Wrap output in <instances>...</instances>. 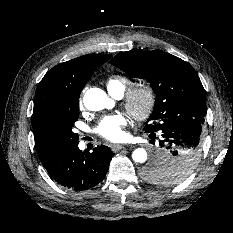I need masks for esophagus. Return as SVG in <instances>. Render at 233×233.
Returning <instances> with one entry per match:
<instances>
[{
  "instance_id": "1",
  "label": "esophagus",
  "mask_w": 233,
  "mask_h": 233,
  "mask_svg": "<svg viewBox=\"0 0 233 233\" xmlns=\"http://www.w3.org/2000/svg\"><path fill=\"white\" fill-rule=\"evenodd\" d=\"M111 148H112V151L118 152L119 150L124 148V145H122V144H113Z\"/></svg>"
}]
</instances>
